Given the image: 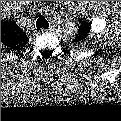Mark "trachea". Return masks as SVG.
<instances>
[{"instance_id":"obj_1","label":"trachea","mask_w":121,"mask_h":121,"mask_svg":"<svg viewBox=\"0 0 121 121\" xmlns=\"http://www.w3.org/2000/svg\"><path fill=\"white\" fill-rule=\"evenodd\" d=\"M48 26H49V23L44 17H40V18L37 19L36 27L38 29H40V28H45L46 29V28H48Z\"/></svg>"}]
</instances>
